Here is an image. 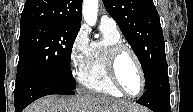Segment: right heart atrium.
Returning a JSON list of instances; mask_svg holds the SVG:
<instances>
[{
    "instance_id": "right-heart-atrium-1",
    "label": "right heart atrium",
    "mask_w": 193,
    "mask_h": 112,
    "mask_svg": "<svg viewBox=\"0 0 193 112\" xmlns=\"http://www.w3.org/2000/svg\"><path fill=\"white\" fill-rule=\"evenodd\" d=\"M89 37L85 27L79 28L69 48V67L73 74H78L87 57L89 50Z\"/></svg>"
}]
</instances>
